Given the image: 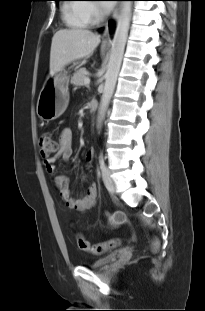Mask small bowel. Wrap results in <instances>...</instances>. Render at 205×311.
<instances>
[{"mask_svg": "<svg viewBox=\"0 0 205 311\" xmlns=\"http://www.w3.org/2000/svg\"><path fill=\"white\" fill-rule=\"evenodd\" d=\"M60 146L57 153L44 160V165L47 172L53 176V184L59 192L60 198L66 206L73 210L86 211L92 208L97 196V188L94 183H91L84 196L79 199L73 198L69 189V180L65 173L60 172L55 163L57 159L63 158L69 160L73 153V132L69 128L62 130L59 140ZM95 157V150L90 148L85 154L86 161L90 164Z\"/></svg>", "mask_w": 205, "mask_h": 311, "instance_id": "small-bowel-1", "label": "small bowel"}]
</instances>
